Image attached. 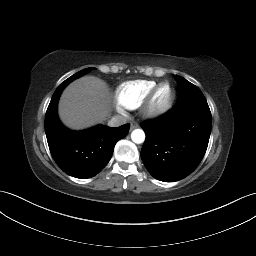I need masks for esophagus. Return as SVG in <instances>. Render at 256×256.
Segmentation results:
<instances>
[{
    "mask_svg": "<svg viewBox=\"0 0 256 256\" xmlns=\"http://www.w3.org/2000/svg\"><path fill=\"white\" fill-rule=\"evenodd\" d=\"M137 127H138V124L136 122H131L130 123V130H133V129L137 128Z\"/></svg>",
    "mask_w": 256,
    "mask_h": 256,
    "instance_id": "obj_1",
    "label": "esophagus"
}]
</instances>
